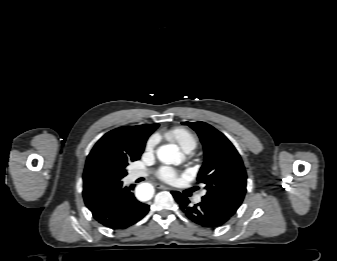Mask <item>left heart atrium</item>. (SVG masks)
<instances>
[{"mask_svg":"<svg viewBox=\"0 0 337 261\" xmlns=\"http://www.w3.org/2000/svg\"><path fill=\"white\" fill-rule=\"evenodd\" d=\"M157 176L165 182L173 183L176 181L177 172L170 167H162L157 171Z\"/></svg>","mask_w":337,"mask_h":261,"instance_id":"39dd6f15","label":"left heart atrium"}]
</instances>
